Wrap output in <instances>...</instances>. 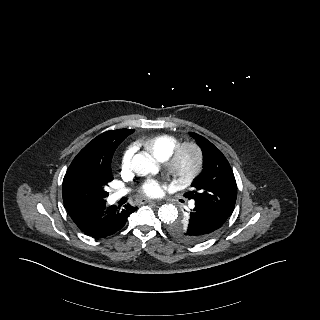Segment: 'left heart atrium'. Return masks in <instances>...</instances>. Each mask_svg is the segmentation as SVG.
Segmentation results:
<instances>
[{"mask_svg":"<svg viewBox=\"0 0 320 320\" xmlns=\"http://www.w3.org/2000/svg\"><path fill=\"white\" fill-rule=\"evenodd\" d=\"M140 191L143 195L157 197L162 192V185L158 181L147 180L141 185Z\"/></svg>","mask_w":320,"mask_h":320,"instance_id":"left-heart-atrium-1","label":"left heart atrium"}]
</instances>
